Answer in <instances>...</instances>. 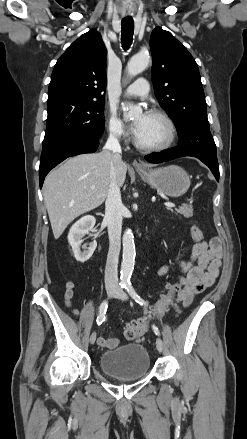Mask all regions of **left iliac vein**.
<instances>
[{"label": "left iliac vein", "instance_id": "4c4485c4", "mask_svg": "<svg viewBox=\"0 0 247 439\" xmlns=\"http://www.w3.org/2000/svg\"><path fill=\"white\" fill-rule=\"evenodd\" d=\"M115 297L120 300H126L128 298L127 294L124 291L117 290L115 293ZM156 347L159 352L163 350V342L160 338L156 339Z\"/></svg>", "mask_w": 247, "mask_h": 439}]
</instances>
